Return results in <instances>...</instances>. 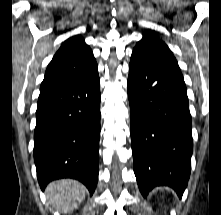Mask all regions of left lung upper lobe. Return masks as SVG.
<instances>
[{
	"instance_id": "1",
	"label": "left lung upper lobe",
	"mask_w": 221,
	"mask_h": 215,
	"mask_svg": "<svg viewBox=\"0 0 221 215\" xmlns=\"http://www.w3.org/2000/svg\"><path fill=\"white\" fill-rule=\"evenodd\" d=\"M160 49L165 53L172 54L168 46L158 37L153 30H148L143 33V38L140 40L133 51H149Z\"/></svg>"
}]
</instances>
